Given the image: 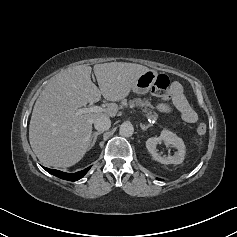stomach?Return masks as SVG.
<instances>
[{
    "label": "stomach",
    "instance_id": "obj_1",
    "mask_svg": "<svg viewBox=\"0 0 237 237\" xmlns=\"http://www.w3.org/2000/svg\"><path fill=\"white\" fill-rule=\"evenodd\" d=\"M157 72L154 70H148L141 74L134 85L132 86L133 92L137 94H145L147 93L150 88L153 86L156 78Z\"/></svg>",
    "mask_w": 237,
    "mask_h": 237
}]
</instances>
